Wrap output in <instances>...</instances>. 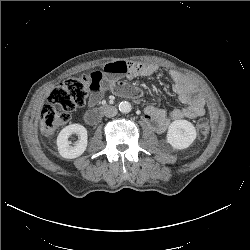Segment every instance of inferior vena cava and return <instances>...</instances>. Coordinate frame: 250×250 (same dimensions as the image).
Segmentation results:
<instances>
[{
  "mask_svg": "<svg viewBox=\"0 0 250 250\" xmlns=\"http://www.w3.org/2000/svg\"><path fill=\"white\" fill-rule=\"evenodd\" d=\"M118 113L117 108L114 106H107L104 108V115L106 117H114Z\"/></svg>",
  "mask_w": 250,
  "mask_h": 250,
  "instance_id": "obj_1",
  "label": "inferior vena cava"
}]
</instances>
